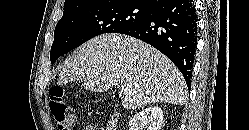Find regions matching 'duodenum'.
Segmentation results:
<instances>
[{"mask_svg":"<svg viewBox=\"0 0 249 130\" xmlns=\"http://www.w3.org/2000/svg\"><path fill=\"white\" fill-rule=\"evenodd\" d=\"M106 130H117V120L116 119H112L110 121V123L108 124Z\"/></svg>","mask_w":249,"mask_h":130,"instance_id":"obj_1","label":"duodenum"}]
</instances>
